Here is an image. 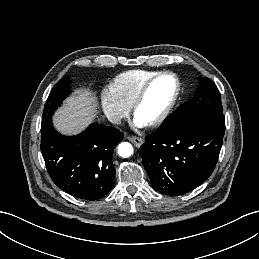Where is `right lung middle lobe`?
Listing matches in <instances>:
<instances>
[{
    "mask_svg": "<svg viewBox=\"0 0 259 259\" xmlns=\"http://www.w3.org/2000/svg\"><path fill=\"white\" fill-rule=\"evenodd\" d=\"M70 83V76H64L54 86L44 106L41 128L45 127L51 121L54 111L62 104V101L71 94Z\"/></svg>",
    "mask_w": 259,
    "mask_h": 259,
    "instance_id": "right-lung-middle-lobe-1",
    "label": "right lung middle lobe"
}]
</instances>
